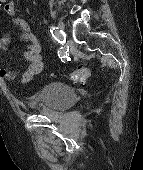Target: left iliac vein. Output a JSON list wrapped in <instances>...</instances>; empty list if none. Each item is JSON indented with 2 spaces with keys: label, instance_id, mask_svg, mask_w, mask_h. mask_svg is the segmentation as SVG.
I'll use <instances>...</instances> for the list:
<instances>
[{
  "label": "left iliac vein",
  "instance_id": "1",
  "mask_svg": "<svg viewBox=\"0 0 143 170\" xmlns=\"http://www.w3.org/2000/svg\"><path fill=\"white\" fill-rule=\"evenodd\" d=\"M58 28H59L60 30L64 31V29H65L64 23H63V22H59V23H58ZM68 44H71V42H68Z\"/></svg>",
  "mask_w": 143,
  "mask_h": 170
}]
</instances>
